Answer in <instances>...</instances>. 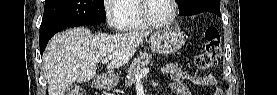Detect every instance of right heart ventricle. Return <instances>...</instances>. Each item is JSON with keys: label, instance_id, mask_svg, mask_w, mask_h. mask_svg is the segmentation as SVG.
<instances>
[{"label": "right heart ventricle", "instance_id": "1", "mask_svg": "<svg viewBox=\"0 0 277 95\" xmlns=\"http://www.w3.org/2000/svg\"><path fill=\"white\" fill-rule=\"evenodd\" d=\"M140 2L141 0H121L117 3L116 7L121 10V29L138 30L148 27L140 13Z\"/></svg>", "mask_w": 277, "mask_h": 95}]
</instances>
